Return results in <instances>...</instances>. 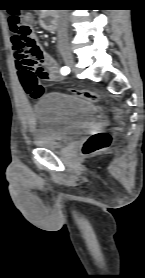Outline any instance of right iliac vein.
Returning a JSON list of instances; mask_svg holds the SVG:
<instances>
[{"mask_svg": "<svg viewBox=\"0 0 145 278\" xmlns=\"http://www.w3.org/2000/svg\"><path fill=\"white\" fill-rule=\"evenodd\" d=\"M61 54H62L64 63L69 68H73L75 65V62H74V58H73L72 54L68 50H62Z\"/></svg>", "mask_w": 145, "mask_h": 278, "instance_id": "63e3f726", "label": "right iliac vein"}]
</instances>
